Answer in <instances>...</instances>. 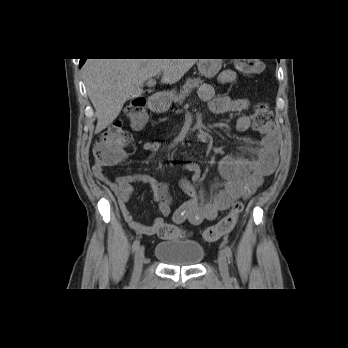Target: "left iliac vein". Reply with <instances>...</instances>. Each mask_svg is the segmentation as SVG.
<instances>
[{
	"instance_id": "obj_1",
	"label": "left iliac vein",
	"mask_w": 348,
	"mask_h": 348,
	"mask_svg": "<svg viewBox=\"0 0 348 348\" xmlns=\"http://www.w3.org/2000/svg\"><path fill=\"white\" fill-rule=\"evenodd\" d=\"M218 265L219 271L222 279L224 281L229 280V272H228V261L224 253L220 252L218 255Z\"/></svg>"
}]
</instances>
